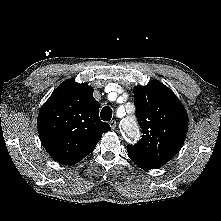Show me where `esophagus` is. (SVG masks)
Listing matches in <instances>:
<instances>
[{"instance_id":"obj_1","label":"esophagus","mask_w":221,"mask_h":221,"mask_svg":"<svg viewBox=\"0 0 221 221\" xmlns=\"http://www.w3.org/2000/svg\"><path fill=\"white\" fill-rule=\"evenodd\" d=\"M109 125H110V127H111V129H115V127H116V121L115 120H111L110 122H109Z\"/></svg>"}]
</instances>
